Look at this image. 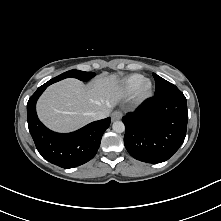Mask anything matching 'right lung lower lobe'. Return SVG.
<instances>
[{"label":"right lung lower lobe","mask_w":221,"mask_h":221,"mask_svg":"<svg viewBox=\"0 0 221 221\" xmlns=\"http://www.w3.org/2000/svg\"><path fill=\"white\" fill-rule=\"evenodd\" d=\"M48 86L47 83L40 86L27 103L30 134L38 152L48 162L67 169L80 166L95 156L111 119L92 122L67 134L49 130L39 121L35 108L37 99Z\"/></svg>","instance_id":"98d812e1"}]
</instances>
